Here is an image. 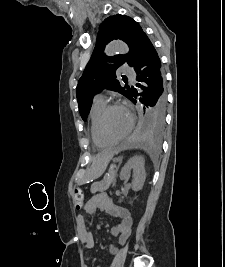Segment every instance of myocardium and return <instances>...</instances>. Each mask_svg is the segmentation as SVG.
<instances>
[{
    "mask_svg": "<svg viewBox=\"0 0 225 267\" xmlns=\"http://www.w3.org/2000/svg\"><path fill=\"white\" fill-rule=\"evenodd\" d=\"M115 108L125 109L122 105L117 104V103L107 104V105H105V107L101 111L99 118H98V122H97V127H98V131H99L100 136L105 141L110 142L113 145H116V144H119V143L125 141L128 138V136L130 135V133L134 127V119H133L132 115L125 109L129 115V119H130V123H129V127H128L127 131L120 138L110 137L105 131L104 122H105V118H106L107 114Z\"/></svg>",
    "mask_w": 225,
    "mask_h": 267,
    "instance_id": "obj_1",
    "label": "myocardium"
}]
</instances>
